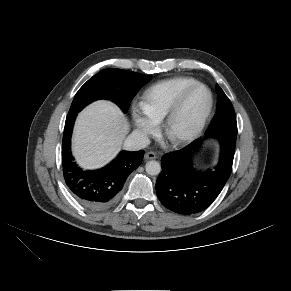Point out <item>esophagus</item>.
<instances>
[{"label": "esophagus", "mask_w": 291, "mask_h": 291, "mask_svg": "<svg viewBox=\"0 0 291 291\" xmlns=\"http://www.w3.org/2000/svg\"><path fill=\"white\" fill-rule=\"evenodd\" d=\"M157 158V155H156V153H154V152H147L146 154H145V156H144V159L145 160H153V159H156Z\"/></svg>", "instance_id": "obj_1"}]
</instances>
